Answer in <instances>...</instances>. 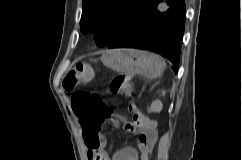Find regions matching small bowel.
Here are the masks:
<instances>
[{"mask_svg":"<svg viewBox=\"0 0 242 160\" xmlns=\"http://www.w3.org/2000/svg\"><path fill=\"white\" fill-rule=\"evenodd\" d=\"M117 123L121 124L125 131L138 137L137 148L124 147L115 154L110 155L107 152L106 139L100 133L93 135L96 142L93 146L89 145L88 138L92 134L81 124L88 160H149L157 139L155 122L142 113H135L133 114V121L118 117Z\"/></svg>","mask_w":242,"mask_h":160,"instance_id":"obj_1","label":"small bowel"}]
</instances>
